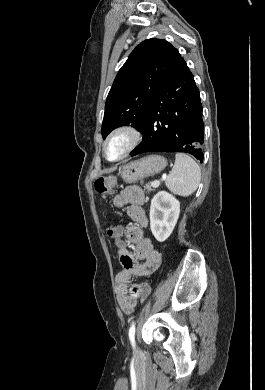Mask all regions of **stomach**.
<instances>
[{"instance_id": "1", "label": "stomach", "mask_w": 265, "mask_h": 390, "mask_svg": "<svg viewBox=\"0 0 265 390\" xmlns=\"http://www.w3.org/2000/svg\"><path fill=\"white\" fill-rule=\"evenodd\" d=\"M167 165L165 158L159 155H149L123 166L120 175L124 182L135 183L145 177L160 173Z\"/></svg>"}]
</instances>
